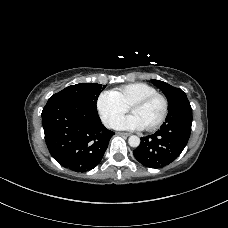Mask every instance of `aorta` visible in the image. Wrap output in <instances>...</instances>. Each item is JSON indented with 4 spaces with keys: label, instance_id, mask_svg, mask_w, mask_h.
<instances>
[{
    "label": "aorta",
    "instance_id": "aorta-1",
    "mask_svg": "<svg viewBox=\"0 0 228 228\" xmlns=\"http://www.w3.org/2000/svg\"><path fill=\"white\" fill-rule=\"evenodd\" d=\"M128 143L131 147H138L140 145V138L138 136L132 135L129 137Z\"/></svg>",
    "mask_w": 228,
    "mask_h": 228
}]
</instances>
